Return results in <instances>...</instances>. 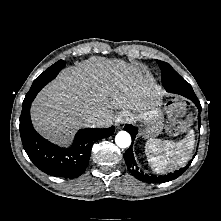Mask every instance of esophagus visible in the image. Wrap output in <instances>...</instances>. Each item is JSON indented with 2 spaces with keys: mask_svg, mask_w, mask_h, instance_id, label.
<instances>
[{
  "mask_svg": "<svg viewBox=\"0 0 221 221\" xmlns=\"http://www.w3.org/2000/svg\"><path fill=\"white\" fill-rule=\"evenodd\" d=\"M126 122V118L122 115H118L115 119V126L117 128L121 127Z\"/></svg>",
  "mask_w": 221,
  "mask_h": 221,
  "instance_id": "1",
  "label": "esophagus"
}]
</instances>
